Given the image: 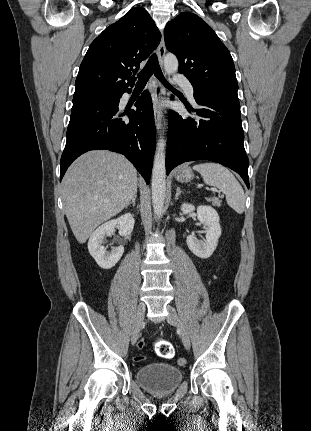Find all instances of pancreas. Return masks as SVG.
Instances as JSON below:
<instances>
[{"label": "pancreas", "mask_w": 311, "mask_h": 431, "mask_svg": "<svg viewBox=\"0 0 311 431\" xmlns=\"http://www.w3.org/2000/svg\"><path fill=\"white\" fill-rule=\"evenodd\" d=\"M207 202H211L212 206H217V208H221L222 200L219 198H206Z\"/></svg>", "instance_id": "obj_1"}]
</instances>
